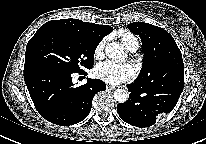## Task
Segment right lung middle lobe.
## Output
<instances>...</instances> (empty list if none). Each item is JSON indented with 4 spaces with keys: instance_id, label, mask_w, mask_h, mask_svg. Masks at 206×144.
I'll return each mask as SVG.
<instances>
[{
    "instance_id": "obj_1",
    "label": "right lung middle lobe",
    "mask_w": 206,
    "mask_h": 144,
    "mask_svg": "<svg viewBox=\"0 0 206 144\" xmlns=\"http://www.w3.org/2000/svg\"><path fill=\"white\" fill-rule=\"evenodd\" d=\"M99 42L67 28L44 24L27 44L24 68L49 66L70 73L80 72L82 66L92 68Z\"/></svg>"
}]
</instances>
